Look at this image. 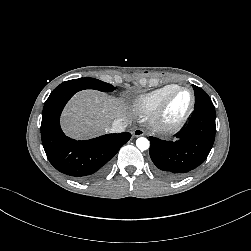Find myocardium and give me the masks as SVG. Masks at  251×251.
Segmentation results:
<instances>
[{
  "mask_svg": "<svg viewBox=\"0 0 251 251\" xmlns=\"http://www.w3.org/2000/svg\"><path fill=\"white\" fill-rule=\"evenodd\" d=\"M185 91L190 95V102L185 111L175 120H169L166 116L168 106L173 96L179 92ZM195 106V95L193 91L186 87L176 86L172 89L161 101L157 109L151 114L150 124L151 127L158 132L172 133L176 132L183 127L190 115L192 114Z\"/></svg>",
  "mask_w": 251,
  "mask_h": 251,
  "instance_id": "myocardium-1",
  "label": "myocardium"
}]
</instances>
